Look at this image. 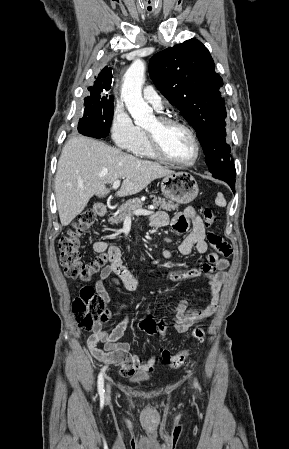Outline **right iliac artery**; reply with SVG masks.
I'll use <instances>...</instances> for the list:
<instances>
[{
  "label": "right iliac artery",
  "instance_id": "right-iliac-artery-1",
  "mask_svg": "<svg viewBox=\"0 0 289 449\" xmlns=\"http://www.w3.org/2000/svg\"><path fill=\"white\" fill-rule=\"evenodd\" d=\"M106 370V367H103V369L101 370L99 376H98V393L100 395L101 398L104 397V372Z\"/></svg>",
  "mask_w": 289,
  "mask_h": 449
}]
</instances>
